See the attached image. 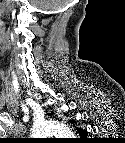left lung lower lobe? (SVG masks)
<instances>
[{
  "instance_id": "0a47b994",
  "label": "left lung lower lobe",
  "mask_w": 125,
  "mask_h": 143,
  "mask_svg": "<svg viewBox=\"0 0 125 143\" xmlns=\"http://www.w3.org/2000/svg\"><path fill=\"white\" fill-rule=\"evenodd\" d=\"M79 133V132H78ZM80 135H81V137H86V132L85 131H83V132H81V133H79Z\"/></svg>"
}]
</instances>
